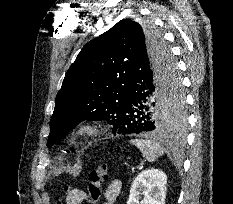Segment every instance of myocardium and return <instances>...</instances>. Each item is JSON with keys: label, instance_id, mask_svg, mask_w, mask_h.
Masks as SVG:
<instances>
[{"label": "myocardium", "instance_id": "myocardium-1", "mask_svg": "<svg viewBox=\"0 0 233 204\" xmlns=\"http://www.w3.org/2000/svg\"><path fill=\"white\" fill-rule=\"evenodd\" d=\"M99 125L94 122H85L77 125L74 130V134L78 138H91L98 134Z\"/></svg>", "mask_w": 233, "mask_h": 204}]
</instances>
